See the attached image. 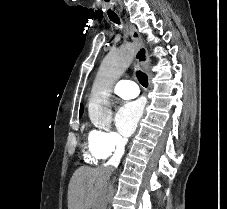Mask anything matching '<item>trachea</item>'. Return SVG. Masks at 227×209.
Returning a JSON list of instances; mask_svg holds the SVG:
<instances>
[{
  "instance_id": "1",
  "label": "trachea",
  "mask_w": 227,
  "mask_h": 209,
  "mask_svg": "<svg viewBox=\"0 0 227 209\" xmlns=\"http://www.w3.org/2000/svg\"><path fill=\"white\" fill-rule=\"evenodd\" d=\"M110 20L114 23H117L118 25H120V19L118 17V15H116L115 13H109L108 14ZM136 76L140 82L141 85H143V87H147L148 86V77L146 74H144L143 72H141L140 70H138L136 72Z\"/></svg>"
}]
</instances>
